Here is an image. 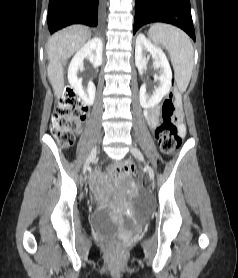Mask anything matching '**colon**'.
Masks as SVG:
<instances>
[{
    "mask_svg": "<svg viewBox=\"0 0 238 278\" xmlns=\"http://www.w3.org/2000/svg\"><path fill=\"white\" fill-rule=\"evenodd\" d=\"M87 113V105L78 98L73 90L67 89L59 102L51 126V133L61 148L66 149L74 145ZM161 118L155 136L160 150L164 154H171L181 145L174 92H170L162 101ZM133 171L134 164L129 160L116 162L108 168L109 177L113 181L130 176ZM112 247L116 249L117 244H112Z\"/></svg>",
    "mask_w": 238,
    "mask_h": 278,
    "instance_id": "1",
    "label": "colon"
}]
</instances>
